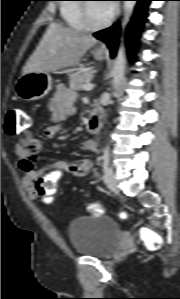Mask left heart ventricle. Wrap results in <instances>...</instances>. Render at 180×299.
<instances>
[{"instance_id":"obj_1","label":"left heart ventricle","mask_w":180,"mask_h":299,"mask_svg":"<svg viewBox=\"0 0 180 299\" xmlns=\"http://www.w3.org/2000/svg\"><path fill=\"white\" fill-rule=\"evenodd\" d=\"M89 14L94 24L104 22L110 15L104 3H89Z\"/></svg>"}]
</instances>
